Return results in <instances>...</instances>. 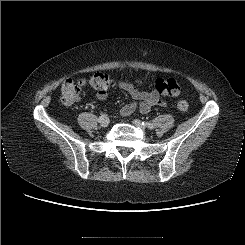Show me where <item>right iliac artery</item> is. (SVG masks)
Here are the masks:
<instances>
[{"label": "right iliac artery", "instance_id": "obj_1", "mask_svg": "<svg viewBox=\"0 0 245 245\" xmlns=\"http://www.w3.org/2000/svg\"><path fill=\"white\" fill-rule=\"evenodd\" d=\"M107 117L106 114H102L99 118H98V122H101L102 120H104Z\"/></svg>", "mask_w": 245, "mask_h": 245}]
</instances>
